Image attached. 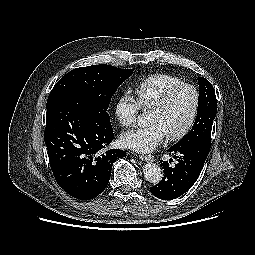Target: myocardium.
<instances>
[{
	"label": "myocardium",
	"instance_id": "obj_1",
	"mask_svg": "<svg viewBox=\"0 0 255 255\" xmlns=\"http://www.w3.org/2000/svg\"><path fill=\"white\" fill-rule=\"evenodd\" d=\"M181 89H190L194 94V106L191 116L187 124L177 133L166 135L169 141H179L183 139L193 128L200 110L201 96L198 88L189 83H180L169 90L159 99V101L152 106L150 110L161 111L167 107L172 97Z\"/></svg>",
	"mask_w": 255,
	"mask_h": 255
}]
</instances>
